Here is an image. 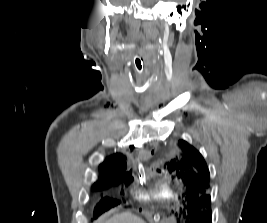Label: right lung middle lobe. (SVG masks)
<instances>
[{"label": "right lung middle lobe", "mask_w": 267, "mask_h": 223, "mask_svg": "<svg viewBox=\"0 0 267 223\" xmlns=\"http://www.w3.org/2000/svg\"><path fill=\"white\" fill-rule=\"evenodd\" d=\"M117 181H127L126 178L124 177H110V178H107V179H103L101 182H100V185L98 186H95L96 189H101V188H107L111 185H114ZM119 202L116 201V200H113V199H110V198H103L100 203L97 205L96 209H95V213L96 214H99L109 208H111L112 206H115L117 205Z\"/></svg>", "instance_id": "1"}]
</instances>
